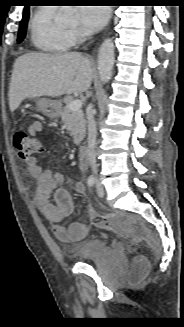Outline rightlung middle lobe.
<instances>
[{
	"instance_id": "dd1d6c3e",
	"label": "right lung middle lobe",
	"mask_w": 184,
	"mask_h": 327,
	"mask_svg": "<svg viewBox=\"0 0 184 327\" xmlns=\"http://www.w3.org/2000/svg\"><path fill=\"white\" fill-rule=\"evenodd\" d=\"M28 18H29V11L23 13V17H22V20L19 25V33H18V38H17L18 43L22 42L26 36V27H27V23H28Z\"/></svg>"
}]
</instances>
